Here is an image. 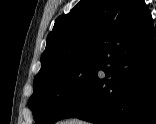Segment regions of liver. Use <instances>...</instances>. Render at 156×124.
Returning a JSON list of instances; mask_svg holds the SVG:
<instances>
[{"instance_id":"1","label":"liver","mask_w":156,"mask_h":124,"mask_svg":"<svg viewBox=\"0 0 156 124\" xmlns=\"http://www.w3.org/2000/svg\"><path fill=\"white\" fill-rule=\"evenodd\" d=\"M60 124H88V123H85L84 121L81 120L72 119V120L62 121Z\"/></svg>"}]
</instances>
